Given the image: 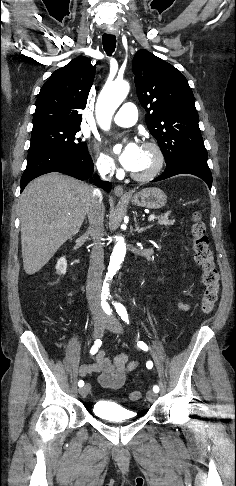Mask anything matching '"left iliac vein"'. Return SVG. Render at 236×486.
<instances>
[{
	"label": "left iliac vein",
	"mask_w": 236,
	"mask_h": 486,
	"mask_svg": "<svg viewBox=\"0 0 236 486\" xmlns=\"http://www.w3.org/2000/svg\"><path fill=\"white\" fill-rule=\"evenodd\" d=\"M106 327L113 333L121 334L123 329L120 322L115 317H110L106 321ZM147 400L149 402H154L157 399V394L154 391L149 390L147 392Z\"/></svg>",
	"instance_id": "4c4485c4"
}]
</instances>
